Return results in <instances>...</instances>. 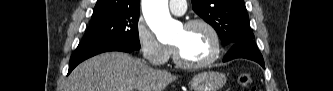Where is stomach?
Wrapping results in <instances>:
<instances>
[{
    "mask_svg": "<svg viewBox=\"0 0 333 91\" xmlns=\"http://www.w3.org/2000/svg\"><path fill=\"white\" fill-rule=\"evenodd\" d=\"M225 83L226 77L223 73L207 71L194 76L191 87L193 91H219Z\"/></svg>",
    "mask_w": 333,
    "mask_h": 91,
    "instance_id": "0dacf381",
    "label": "stomach"
}]
</instances>
